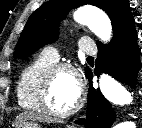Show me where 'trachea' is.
Listing matches in <instances>:
<instances>
[{
    "mask_svg": "<svg viewBox=\"0 0 142 128\" xmlns=\"http://www.w3.org/2000/svg\"><path fill=\"white\" fill-rule=\"evenodd\" d=\"M87 59H93V57L89 56V57H87Z\"/></svg>",
    "mask_w": 142,
    "mask_h": 128,
    "instance_id": "3493384b",
    "label": "trachea"
}]
</instances>
